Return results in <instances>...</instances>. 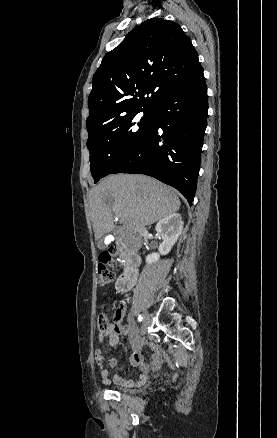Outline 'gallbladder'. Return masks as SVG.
<instances>
[{
  "label": "gallbladder",
  "mask_w": 277,
  "mask_h": 438,
  "mask_svg": "<svg viewBox=\"0 0 277 438\" xmlns=\"http://www.w3.org/2000/svg\"><path fill=\"white\" fill-rule=\"evenodd\" d=\"M98 248H104V244H102V242H99Z\"/></svg>",
  "instance_id": "bac80fb5"
}]
</instances>
